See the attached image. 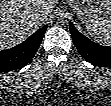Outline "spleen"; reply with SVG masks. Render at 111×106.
Listing matches in <instances>:
<instances>
[{
  "mask_svg": "<svg viewBox=\"0 0 111 106\" xmlns=\"http://www.w3.org/2000/svg\"><path fill=\"white\" fill-rule=\"evenodd\" d=\"M86 29L96 41L111 46V16L101 21H88Z\"/></svg>",
  "mask_w": 111,
  "mask_h": 106,
  "instance_id": "3e777b00",
  "label": "spleen"
}]
</instances>
